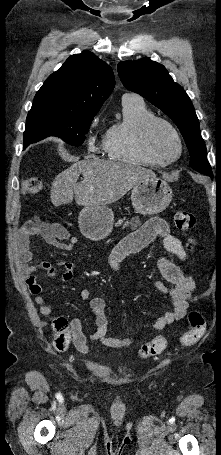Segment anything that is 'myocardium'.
<instances>
[{"label": "myocardium", "instance_id": "1", "mask_svg": "<svg viewBox=\"0 0 221 455\" xmlns=\"http://www.w3.org/2000/svg\"><path fill=\"white\" fill-rule=\"evenodd\" d=\"M157 125L165 126L174 136L178 146V152L175 157L173 158L166 157L162 155L160 152H158L157 149L153 146L152 134ZM139 142L140 146L145 152H147L150 156H152L153 158L162 163L175 162L180 158L183 151L182 139L175 126L167 119L158 116H152L141 125L139 130Z\"/></svg>", "mask_w": 221, "mask_h": 455}]
</instances>
